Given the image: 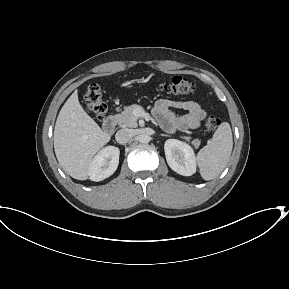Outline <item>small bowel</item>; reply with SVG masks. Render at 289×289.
<instances>
[{"instance_id": "small-bowel-1", "label": "small bowel", "mask_w": 289, "mask_h": 289, "mask_svg": "<svg viewBox=\"0 0 289 289\" xmlns=\"http://www.w3.org/2000/svg\"><path fill=\"white\" fill-rule=\"evenodd\" d=\"M172 108L184 110L187 113L185 115H177L171 111ZM153 115L163 129L168 132H174L199 127L206 116V112L194 100L160 99L153 108Z\"/></svg>"}]
</instances>
